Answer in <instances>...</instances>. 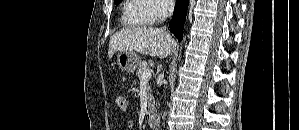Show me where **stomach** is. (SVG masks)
Listing matches in <instances>:
<instances>
[{
    "mask_svg": "<svg viewBox=\"0 0 299 130\" xmlns=\"http://www.w3.org/2000/svg\"><path fill=\"white\" fill-rule=\"evenodd\" d=\"M117 64L122 71L132 73L139 64V56L135 51H119Z\"/></svg>",
    "mask_w": 299,
    "mask_h": 130,
    "instance_id": "1",
    "label": "stomach"
}]
</instances>
